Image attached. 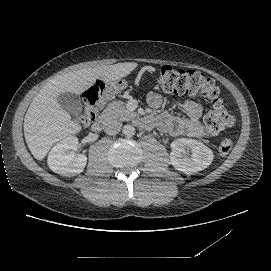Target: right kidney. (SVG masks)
<instances>
[{
  "instance_id": "ca27d5eb",
  "label": "right kidney",
  "mask_w": 271,
  "mask_h": 271,
  "mask_svg": "<svg viewBox=\"0 0 271 271\" xmlns=\"http://www.w3.org/2000/svg\"><path fill=\"white\" fill-rule=\"evenodd\" d=\"M77 148L78 138L76 136H69L57 143L48 155L49 168L66 177L80 174L87 164V157L84 154H76Z\"/></svg>"
}]
</instances>
